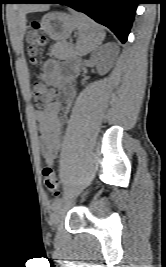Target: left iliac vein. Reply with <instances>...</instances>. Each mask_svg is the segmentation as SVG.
I'll use <instances>...</instances> for the list:
<instances>
[{
    "instance_id": "obj_1",
    "label": "left iliac vein",
    "mask_w": 166,
    "mask_h": 267,
    "mask_svg": "<svg viewBox=\"0 0 166 267\" xmlns=\"http://www.w3.org/2000/svg\"><path fill=\"white\" fill-rule=\"evenodd\" d=\"M72 202H68L65 205H61L58 209H56V211L54 212L53 216H52V222L53 224H58L61 219L64 217L65 213L67 212V210L71 207Z\"/></svg>"
}]
</instances>
